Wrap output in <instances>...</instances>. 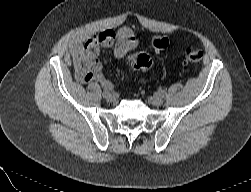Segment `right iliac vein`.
Masks as SVG:
<instances>
[{"label": "right iliac vein", "mask_w": 251, "mask_h": 192, "mask_svg": "<svg viewBox=\"0 0 251 192\" xmlns=\"http://www.w3.org/2000/svg\"><path fill=\"white\" fill-rule=\"evenodd\" d=\"M107 101L114 102L116 100V97L113 94H109L106 97Z\"/></svg>", "instance_id": "obj_1"}]
</instances>
